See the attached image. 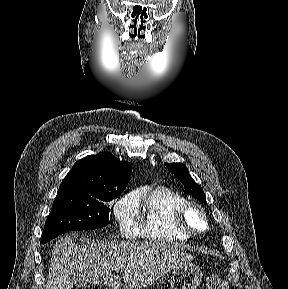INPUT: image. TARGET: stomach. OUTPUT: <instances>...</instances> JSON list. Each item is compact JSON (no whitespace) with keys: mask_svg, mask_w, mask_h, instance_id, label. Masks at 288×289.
<instances>
[{"mask_svg":"<svg viewBox=\"0 0 288 289\" xmlns=\"http://www.w3.org/2000/svg\"><path fill=\"white\" fill-rule=\"evenodd\" d=\"M201 279L200 268L195 264L187 263L173 270L169 282L171 289H196Z\"/></svg>","mask_w":288,"mask_h":289,"instance_id":"1","label":"stomach"}]
</instances>
